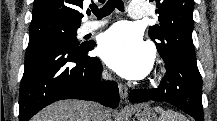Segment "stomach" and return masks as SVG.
<instances>
[{"instance_id":"obj_1","label":"stomach","mask_w":217,"mask_h":121,"mask_svg":"<svg viewBox=\"0 0 217 121\" xmlns=\"http://www.w3.org/2000/svg\"><path fill=\"white\" fill-rule=\"evenodd\" d=\"M133 111L138 121H157L155 112L146 104L136 106Z\"/></svg>"}]
</instances>
